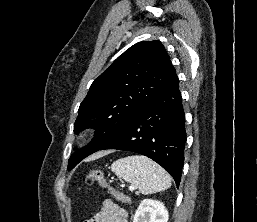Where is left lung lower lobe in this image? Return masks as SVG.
I'll return each instance as SVG.
<instances>
[{
	"mask_svg": "<svg viewBox=\"0 0 257 222\" xmlns=\"http://www.w3.org/2000/svg\"><path fill=\"white\" fill-rule=\"evenodd\" d=\"M185 142V115L176 76L100 150L117 149L145 155L168 171L178 187Z\"/></svg>",
	"mask_w": 257,
	"mask_h": 222,
	"instance_id": "left-lung-lower-lobe-1",
	"label": "left lung lower lobe"
}]
</instances>
